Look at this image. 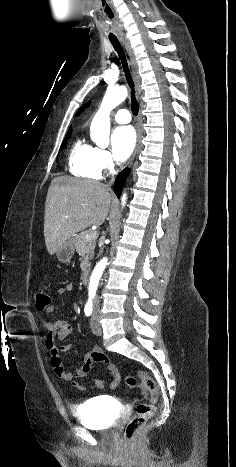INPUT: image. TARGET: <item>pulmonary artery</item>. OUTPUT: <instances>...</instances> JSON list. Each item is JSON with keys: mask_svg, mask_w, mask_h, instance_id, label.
<instances>
[{"mask_svg": "<svg viewBox=\"0 0 236 467\" xmlns=\"http://www.w3.org/2000/svg\"><path fill=\"white\" fill-rule=\"evenodd\" d=\"M113 119L120 124L129 123L131 121L130 113L126 109H121L113 115Z\"/></svg>", "mask_w": 236, "mask_h": 467, "instance_id": "1", "label": "pulmonary artery"}]
</instances>
